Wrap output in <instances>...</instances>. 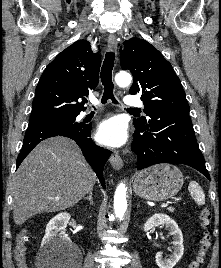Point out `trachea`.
Masks as SVG:
<instances>
[{"label": "trachea", "mask_w": 221, "mask_h": 268, "mask_svg": "<svg viewBox=\"0 0 221 268\" xmlns=\"http://www.w3.org/2000/svg\"><path fill=\"white\" fill-rule=\"evenodd\" d=\"M114 60H115V54L113 51H108L106 53L100 77L102 85L104 86V93L102 96V103H106L107 100L111 99L113 103H117L114 94H113V88L114 84L112 82V70L114 66ZM128 111H138L136 108H129Z\"/></svg>", "instance_id": "obj_1"}]
</instances>
